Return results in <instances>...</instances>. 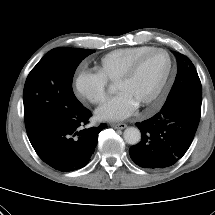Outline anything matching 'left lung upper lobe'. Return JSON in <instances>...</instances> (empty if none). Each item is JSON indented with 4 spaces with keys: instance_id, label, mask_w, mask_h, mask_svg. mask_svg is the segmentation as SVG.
Listing matches in <instances>:
<instances>
[{
    "instance_id": "5c2ea615",
    "label": "left lung upper lobe",
    "mask_w": 215,
    "mask_h": 215,
    "mask_svg": "<svg viewBox=\"0 0 215 215\" xmlns=\"http://www.w3.org/2000/svg\"><path fill=\"white\" fill-rule=\"evenodd\" d=\"M173 53L177 58V75L166 102L180 99L201 109L202 88L197 71L188 57Z\"/></svg>"
}]
</instances>
